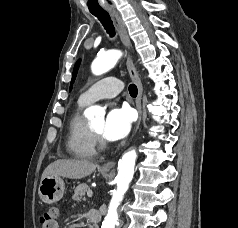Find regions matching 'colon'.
<instances>
[{
	"mask_svg": "<svg viewBox=\"0 0 238 228\" xmlns=\"http://www.w3.org/2000/svg\"><path fill=\"white\" fill-rule=\"evenodd\" d=\"M60 215V209L56 205L48 206L43 209L39 221L42 228H46L48 225L57 221Z\"/></svg>",
	"mask_w": 238,
	"mask_h": 228,
	"instance_id": "1",
	"label": "colon"
}]
</instances>
